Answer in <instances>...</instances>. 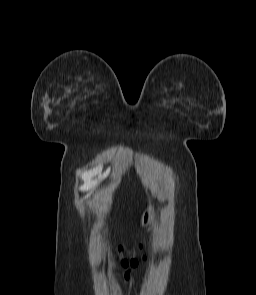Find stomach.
Here are the masks:
<instances>
[{"label":"stomach","instance_id":"0dacf381","mask_svg":"<svg viewBox=\"0 0 256 295\" xmlns=\"http://www.w3.org/2000/svg\"><path fill=\"white\" fill-rule=\"evenodd\" d=\"M153 219V212L152 208H148L141 217V225L146 226L148 225L151 220Z\"/></svg>","mask_w":256,"mask_h":295}]
</instances>
